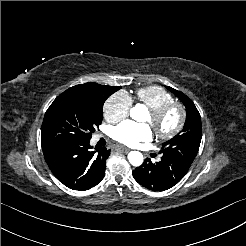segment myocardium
<instances>
[{
    "label": "myocardium",
    "mask_w": 246,
    "mask_h": 246,
    "mask_svg": "<svg viewBox=\"0 0 246 246\" xmlns=\"http://www.w3.org/2000/svg\"><path fill=\"white\" fill-rule=\"evenodd\" d=\"M174 110L178 111V120L175 125L166 130L158 128V123ZM149 115L150 124L157 136L162 140H170L174 138L183 129L186 122V110L184 106L178 102L166 103L156 109L149 110Z\"/></svg>",
    "instance_id": "myocardium-1"
}]
</instances>
